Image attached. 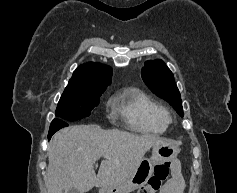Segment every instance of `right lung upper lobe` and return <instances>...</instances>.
<instances>
[{
	"mask_svg": "<svg viewBox=\"0 0 237 193\" xmlns=\"http://www.w3.org/2000/svg\"><path fill=\"white\" fill-rule=\"evenodd\" d=\"M112 71L108 66L95 63L80 65L69 80L68 86L88 89L106 88L111 83Z\"/></svg>",
	"mask_w": 237,
	"mask_h": 193,
	"instance_id": "obj_1",
	"label": "right lung upper lobe"
}]
</instances>
